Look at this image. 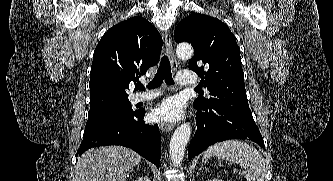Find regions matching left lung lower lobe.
<instances>
[{"instance_id": "left-lung-lower-lobe-1", "label": "left lung lower lobe", "mask_w": 333, "mask_h": 181, "mask_svg": "<svg viewBox=\"0 0 333 181\" xmlns=\"http://www.w3.org/2000/svg\"><path fill=\"white\" fill-rule=\"evenodd\" d=\"M196 113L197 130L192 138L188 157L191 160L208 146L228 139H248L265 149L262 135L253 118L216 106H198Z\"/></svg>"}]
</instances>
